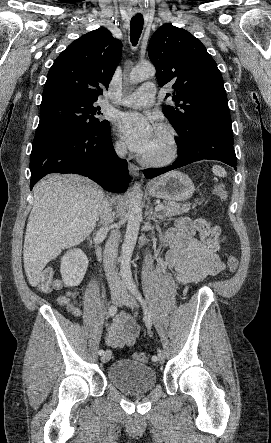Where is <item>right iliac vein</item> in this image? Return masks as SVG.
<instances>
[{
  "label": "right iliac vein",
  "mask_w": 271,
  "mask_h": 443,
  "mask_svg": "<svg viewBox=\"0 0 271 443\" xmlns=\"http://www.w3.org/2000/svg\"><path fill=\"white\" fill-rule=\"evenodd\" d=\"M122 299H123V295H121V294H113V295L111 296V301H112V303L115 304V305L120 304L121 301H122ZM110 358H111V351H110V350H106V351L104 352V354L101 355V361H102L103 363L108 362V361L110 360Z\"/></svg>",
  "instance_id": "1"
}]
</instances>
